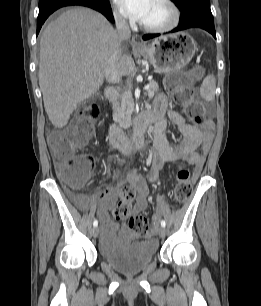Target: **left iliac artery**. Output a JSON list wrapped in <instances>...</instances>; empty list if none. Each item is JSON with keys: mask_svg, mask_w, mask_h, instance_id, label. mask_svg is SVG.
<instances>
[{"mask_svg": "<svg viewBox=\"0 0 261 306\" xmlns=\"http://www.w3.org/2000/svg\"><path fill=\"white\" fill-rule=\"evenodd\" d=\"M161 226L165 227L166 226V222L164 220H161Z\"/></svg>", "mask_w": 261, "mask_h": 306, "instance_id": "1", "label": "left iliac artery"}]
</instances>
